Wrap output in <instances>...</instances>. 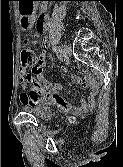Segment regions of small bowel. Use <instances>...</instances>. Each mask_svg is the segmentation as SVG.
I'll return each mask as SVG.
<instances>
[{"mask_svg":"<svg viewBox=\"0 0 123 167\" xmlns=\"http://www.w3.org/2000/svg\"><path fill=\"white\" fill-rule=\"evenodd\" d=\"M21 19L20 24L29 25L31 14L33 13L34 1H18ZM45 17L43 16V20ZM43 31V27L38 29L37 36ZM46 65V58L43 55L39 60V65L37 68L32 69V73L26 74L24 69L20 71V100L24 104H46V105H57L64 108H70L79 112H87L91 110L97 102V92L98 84L90 75H85L83 78H80L77 75H72L71 80L77 84H80L84 87L89 88L90 97L89 99H83L78 105H73L70 102L64 100L61 96V87L59 85L50 84L47 82H35V77H42L43 68ZM63 71H66L65 67H62ZM31 81L34 83L33 88L30 92H27L26 82Z\"/></svg>","mask_w":123,"mask_h":167,"instance_id":"c3829d8e","label":"small bowel"}]
</instances>
